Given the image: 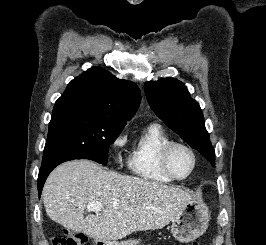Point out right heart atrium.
<instances>
[{
  "mask_svg": "<svg viewBox=\"0 0 266 245\" xmlns=\"http://www.w3.org/2000/svg\"><path fill=\"white\" fill-rule=\"evenodd\" d=\"M126 144H127V133L125 131H120L112 137L110 145H111V149L114 153V157H116V155L121 150L124 149Z\"/></svg>",
  "mask_w": 266,
  "mask_h": 245,
  "instance_id": "1",
  "label": "right heart atrium"
}]
</instances>
